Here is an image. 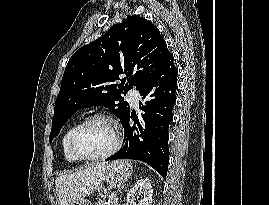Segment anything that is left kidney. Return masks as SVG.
I'll list each match as a JSON object with an SVG mask.
<instances>
[{
	"instance_id": "obj_1",
	"label": "left kidney",
	"mask_w": 269,
	"mask_h": 205,
	"mask_svg": "<svg viewBox=\"0 0 269 205\" xmlns=\"http://www.w3.org/2000/svg\"><path fill=\"white\" fill-rule=\"evenodd\" d=\"M152 185L148 178L137 180L134 186L127 194V202L130 205H151L152 203ZM139 196L141 198L139 199ZM136 197L138 198L136 202Z\"/></svg>"
}]
</instances>
